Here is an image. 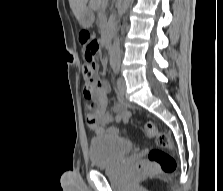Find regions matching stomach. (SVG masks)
I'll return each mask as SVG.
<instances>
[{"instance_id":"obj_1","label":"stomach","mask_w":223,"mask_h":191,"mask_svg":"<svg viewBox=\"0 0 223 191\" xmlns=\"http://www.w3.org/2000/svg\"><path fill=\"white\" fill-rule=\"evenodd\" d=\"M94 19L95 16L93 11L89 7H86V9L81 14L79 22L82 26L89 27L94 22Z\"/></svg>"}]
</instances>
